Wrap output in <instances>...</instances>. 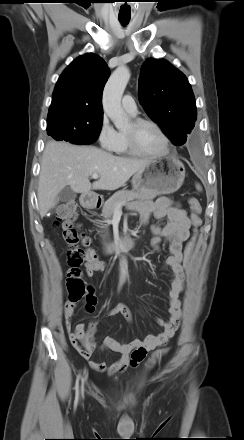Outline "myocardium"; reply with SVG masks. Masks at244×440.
I'll return each mask as SVG.
<instances>
[{"mask_svg": "<svg viewBox=\"0 0 244 440\" xmlns=\"http://www.w3.org/2000/svg\"><path fill=\"white\" fill-rule=\"evenodd\" d=\"M134 129L142 125H151L155 127L164 139V148L158 153H149L141 149L134 132L125 131L127 143L134 154L148 157L162 156L167 154L171 149V140L165 129L156 121L149 118H136L131 122Z\"/></svg>", "mask_w": 244, "mask_h": 440, "instance_id": "myocardium-1", "label": "myocardium"}]
</instances>
